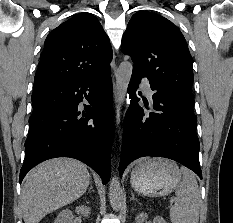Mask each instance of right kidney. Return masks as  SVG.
I'll return each mask as SVG.
<instances>
[{
  "label": "right kidney",
  "instance_id": "right-kidney-1",
  "mask_svg": "<svg viewBox=\"0 0 233 223\" xmlns=\"http://www.w3.org/2000/svg\"><path fill=\"white\" fill-rule=\"evenodd\" d=\"M76 213L83 215V217H89L91 207H88V205H78V207H76ZM73 217L74 215L71 209H63V211L58 213L56 219H54V223H72Z\"/></svg>",
  "mask_w": 233,
  "mask_h": 223
}]
</instances>
